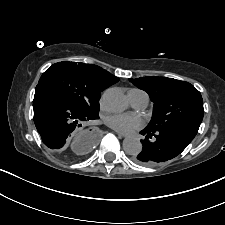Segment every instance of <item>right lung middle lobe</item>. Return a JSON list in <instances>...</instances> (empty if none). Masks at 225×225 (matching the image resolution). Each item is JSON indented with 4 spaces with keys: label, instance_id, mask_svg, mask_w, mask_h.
I'll use <instances>...</instances> for the list:
<instances>
[{
    "label": "right lung middle lobe",
    "instance_id": "dd1d6c3e",
    "mask_svg": "<svg viewBox=\"0 0 225 225\" xmlns=\"http://www.w3.org/2000/svg\"><path fill=\"white\" fill-rule=\"evenodd\" d=\"M37 86H46L61 94L81 111L98 117L99 99L105 89L82 63L58 62L46 70Z\"/></svg>",
    "mask_w": 225,
    "mask_h": 225
}]
</instances>
